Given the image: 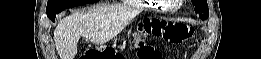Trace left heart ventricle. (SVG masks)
Here are the masks:
<instances>
[{
  "label": "left heart ventricle",
  "instance_id": "obj_1",
  "mask_svg": "<svg viewBox=\"0 0 261 59\" xmlns=\"http://www.w3.org/2000/svg\"><path fill=\"white\" fill-rule=\"evenodd\" d=\"M168 3L174 4V3H176V1H168Z\"/></svg>",
  "mask_w": 261,
  "mask_h": 59
}]
</instances>
